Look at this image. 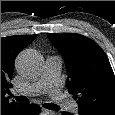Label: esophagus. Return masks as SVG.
<instances>
[{
  "instance_id": "esophagus-1",
  "label": "esophagus",
  "mask_w": 115,
  "mask_h": 115,
  "mask_svg": "<svg viewBox=\"0 0 115 115\" xmlns=\"http://www.w3.org/2000/svg\"><path fill=\"white\" fill-rule=\"evenodd\" d=\"M42 112H43V114H45V115H54V114H55L54 111L48 110V109H42Z\"/></svg>"
}]
</instances>
